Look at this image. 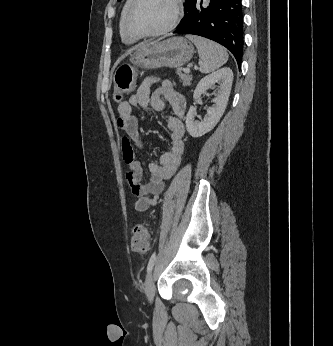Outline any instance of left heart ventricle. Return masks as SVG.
Returning a JSON list of instances; mask_svg holds the SVG:
<instances>
[{
    "label": "left heart ventricle",
    "instance_id": "b2bd125f",
    "mask_svg": "<svg viewBox=\"0 0 333 346\" xmlns=\"http://www.w3.org/2000/svg\"><path fill=\"white\" fill-rule=\"evenodd\" d=\"M174 16L172 0H140L131 17V27L140 32H154L168 26Z\"/></svg>",
    "mask_w": 333,
    "mask_h": 346
}]
</instances>
